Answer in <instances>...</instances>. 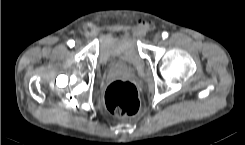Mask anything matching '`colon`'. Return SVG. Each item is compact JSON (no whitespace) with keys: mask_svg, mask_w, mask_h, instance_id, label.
Here are the masks:
<instances>
[{"mask_svg":"<svg viewBox=\"0 0 245 145\" xmlns=\"http://www.w3.org/2000/svg\"><path fill=\"white\" fill-rule=\"evenodd\" d=\"M138 25L145 28L148 23L139 20ZM105 103L108 109L117 116L135 114L139 109V98L135 85L129 81H113L106 89Z\"/></svg>","mask_w":245,"mask_h":145,"instance_id":"1","label":"colon"}]
</instances>
